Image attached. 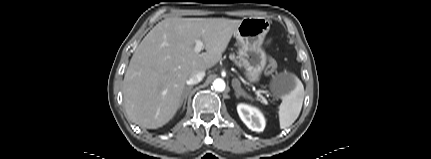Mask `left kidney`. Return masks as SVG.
<instances>
[{
	"mask_svg": "<svg viewBox=\"0 0 431 159\" xmlns=\"http://www.w3.org/2000/svg\"><path fill=\"white\" fill-rule=\"evenodd\" d=\"M237 112L241 120L252 131L261 132L265 128V118L262 113L255 107L247 104H239Z\"/></svg>",
	"mask_w": 431,
	"mask_h": 159,
	"instance_id": "obj_1",
	"label": "left kidney"
}]
</instances>
